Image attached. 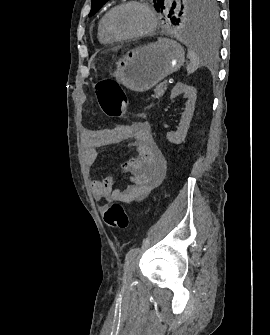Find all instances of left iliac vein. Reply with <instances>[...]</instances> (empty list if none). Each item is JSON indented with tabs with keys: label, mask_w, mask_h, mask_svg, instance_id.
Masks as SVG:
<instances>
[{
	"label": "left iliac vein",
	"mask_w": 270,
	"mask_h": 335,
	"mask_svg": "<svg viewBox=\"0 0 270 335\" xmlns=\"http://www.w3.org/2000/svg\"><path fill=\"white\" fill-rule=\"evenodd\" d=\"M136 259L133 258L131 262L127 265L124 275H123V284L128 285L131 282L132 274L135 270Z\"/></svg>",
	"instance_id": "left-iliac-vein-1"
}]
</instances>
